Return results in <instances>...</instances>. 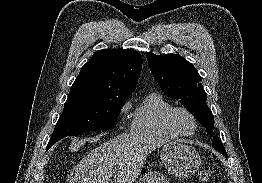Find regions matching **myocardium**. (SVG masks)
<instances>
[{"label":"myocardium","instance_id":"1","mask_svg":"<svg viewBox=\"0 0 262 183\" xmlns=\"http://www.w3.org/2000/svg\"><path fill=\"white\" fill-rule=\"evenodd\" d=\"M179 113H185L189 117H191L195 125L194 130L192 132H185L179 127L176 121V117ZM167 124L171 130H173L175 133H177L180 136H192L198 131L199 128V121L197 117L192 111H190L185 107H173L167 115Z\"/></svg>","mask_w":262,"mask_h":183}]
</instances>
